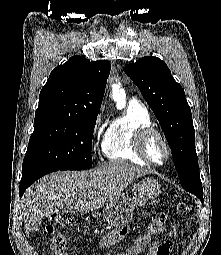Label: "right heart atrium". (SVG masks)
Masks as SVG:
<instances>
[{"label":"right heart atrium","mask_w":221,"mask_h":255,"mask_svg":"<svg viewBox=\"0 0 221 255\" xmlns=\"http://www.w3.org/2000/svg\"><path fill=\"white\" fill-rule=\"evenodd\" d=\"M103 123V113H99L94 122V131H93V138H95L99 132Z\"/></svg>","instance_id":"right-heart-atrium-1"}]
</instances>
